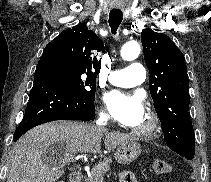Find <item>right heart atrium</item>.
Instances as JSON below:
<instances>
[{"label": "right heart atrium", "mask_w": 211, "mask_h": 182, "mask_svg": "<svg viewBox=\"0 0 211 182\" xmlns=\"http://www.w3.org/2000/svg\"><path fill=\"white\" fill-rule=\"evenodd\" d=\"M99 117L102 121H107L109 119V115L104 110H100Z\"/></svg>", "instance_id": "obj_1"}]
</instances>
